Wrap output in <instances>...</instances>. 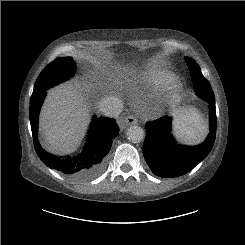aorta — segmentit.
<instances>
[{"label": "aorta", "instance_id": "obj_1", "mask_svg": "<svg viewBox=\"0 0 245 245\" xmlns=\"http://www.w3.org/2000/svg\"><path fill=\"white\" fill-rule=\"evenodd\" d=\"M127 137L134 143H139L144 139V130L140 126H131L127 130Z\"/></svg>", "mask_w": 245, "mask_h": 245}]
</instances>
